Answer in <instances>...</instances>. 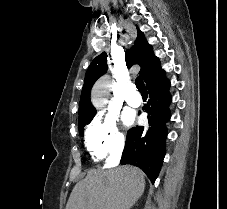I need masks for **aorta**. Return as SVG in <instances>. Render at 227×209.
<instances>
[{"label": "aorta", "instance_id": "1", "mask_svg": "<svg viewBox=\"0 0 227 209\" xmlns=\"http://www.w3.org/2000/svg\"><path fill=\"white\" fill-rule=\"evenodd\" d=\"M110 87L108 76H104L97 81L92 92V101L97 108H102L106 104L107 90Z\"/></svg>", "mask_w": 227, "mask_h": 209}]
</instances>
